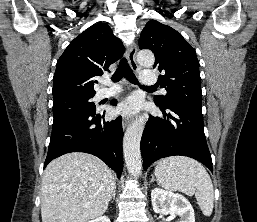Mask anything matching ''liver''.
Segmentation results:
<instances>
[{
	"label": "liver",
	"instance_id": "obj_1",
	"mask_svg": "<svg viewBox=\"0 0 257 222\" xmlns=\"http://www.w3.org/2000/svg\"><path fill=\"white\" fill-rule=\"evenodd\" d=\"M115 179L109 167L87 153H68L46 167L41 187L42 222H88L107 210Z\"/></svg>",
	"mask_w": 257,
	"mask_h": 222
}]
</instances>
